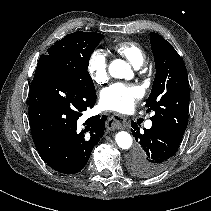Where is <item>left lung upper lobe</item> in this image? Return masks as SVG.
<instances>
[{"label": "left lung upper lobe", "instance_id": "left-lung-upper-lobe-1", "mask_svg": "<svg viewBox=\"0 0 211 211\" xmlns=\"http://www.w3.org/2000/svg\"><path fill=\"white\" fill-rule=\"evenodd\" d=\"M150 42L156 75L147 99L150 119L183 137L188 124L190 89L187 70L173 46L157 33L151 32Z\"/></svg>", "mask_w": 211, "mask_h": 211}]
</instances>
